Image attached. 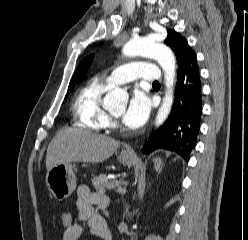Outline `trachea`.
I'll use <instances>...</instances> for the list:
<instances>
[{
    "label": "trachea",
    "mask_w": 248,
    "mask_h": 240,
    "mask_svg": "<svg viewBox=\"0 0 248 240\" xmlns=\"http://www.w3.org/2000/svg\"><path fill=\"white\" fill-rule=\"evenodd\" d=\"M153 84H159V82H153Z\"/></svg>",
    "instance_id": "3493384b"
}]
</instances>
